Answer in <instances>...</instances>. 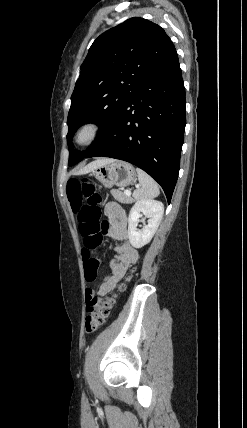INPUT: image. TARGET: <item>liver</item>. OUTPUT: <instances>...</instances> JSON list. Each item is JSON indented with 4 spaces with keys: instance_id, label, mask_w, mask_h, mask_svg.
I'll return each instance as SVG.
<instances>
[{
    "instance_id": "1",
    "label": "liver",
    "mask_w": 247,
    "mask_h": 428,
    "mask_svg": "<svg viewBox=\"0 0 247 428\" xmlns=\"http://www.w3.org/2000/svg\"><path fill=\"white\" fill-rule=\"evenodd\" d=\"M114 161L115 160L111 159V158H99V159H97V160L89 163L88 165H86L79 172L81 174H87V173L93 171L94 169H96V168H98V167H100L102 165H105V164H108V163H111V162H114Z\"/></svg>"
}]
</instances>
